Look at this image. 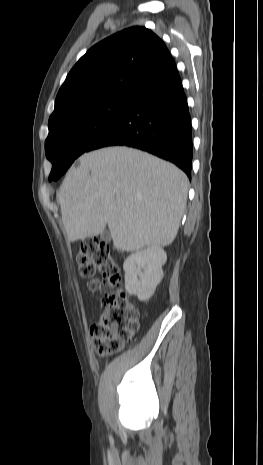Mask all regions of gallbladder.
<instances>
[{
    "mask_svg": "<svg viewBox=\"0 0 263 465\" xmlns=\"http://www.w3.org/2000/svg\"><path fill=\"white\" fill-rule=\"evenodd\" d=\"M100 236H101V239L104 240L105 242H110L111 241V235L106 230L103 231Z\"/></svg>",
    "mask_w": 263,
    "mask_h": 465,
    "instance_id": "1",
    "label": "gallbladder"
}]
</instances>
